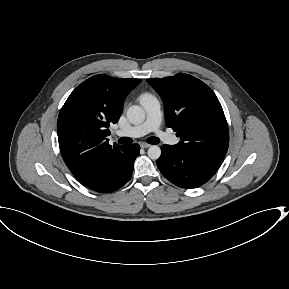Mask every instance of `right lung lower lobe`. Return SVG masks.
<instances>
[{"label": "right lung lower lobe", "mask_w": 289, "mask_h": 289, "mask_svg": "<svg viewBox=\"0 0 289 289\" xmlns=\"http://www.w3.org/2000/svg\"><path fill=\"white\" fill-rule=\"evenodd\" d=\"M139 151L140 146L138 144L124 146L107 164L100 177L84 185L100 193H109L119 189L130 180L134 161L139 155Z\"/></svg>", "instance_id": "98d812e1"}]
</instances>
